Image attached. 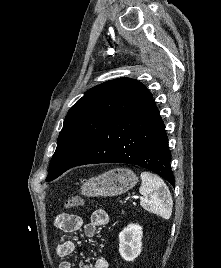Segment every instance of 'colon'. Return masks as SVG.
Here are the masks:
<instances>
[{"label":"colon","mask_w":221,"mask_h":268,"mask_svg":"<svg viewBox=\"0 0 221 268\" xmlns=\"http://www.w3.org/2000/svg\"><path fill=\"white\" fill-rule=\"evenodd\" d=\"M84 204V199L79 196L69 197L65 201L66 208H75Z\"/></svg>","instance_id":"5ec220e1"}]
</instances>
